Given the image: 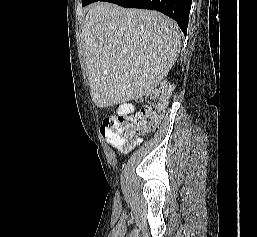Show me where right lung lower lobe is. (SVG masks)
I'll return each instance as SVG.
<instances>
[{"label": "right lung lower lobe", "mask_w": 257, "mask_h": 237, "mask_svg": "<svg viewBox=\"0 0 257 237\" xmlns=\"http://www.w3.org/2000/svg\"><path fill=\"white\" fill-rule=\"evenodd\" d=\"M127 8L151 9L174 19L186 34L192 0H102Z\"/></svg>", "instance_id": "98d812e1"}]
</instances>
